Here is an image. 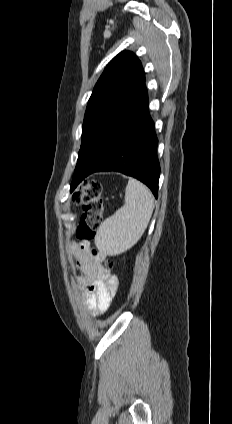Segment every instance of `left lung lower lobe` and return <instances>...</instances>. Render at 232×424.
Returning a JSON list of instances; mask_svg holds the SVG:
<instances>
[{
    "mask_svg": "<svg viewBox=\"0 0 232 424\" xmlns=\"http://www.w3.org/2000/svg\"><path fill=\"white\" fill-rule=\"evenodd\" d=\"M157 145L144 83L96 138L83 169L73 175L70 191L94 172L118 171L142 181L157 198L160 175Z\"/></svg>",
    "mask_w": 232,
    "mask_h": 424,
    "instance_id": "1",
    "label": "left lung lower lobe"
}]
</instances>
